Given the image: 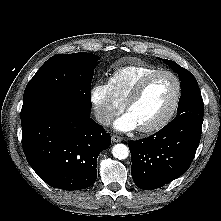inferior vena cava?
I'll list each match as a JSON object with an SVG mask.
<instances>
[{
  "label": "inferior vena cava",
  "mask_w": 221,
  "mask_h": 221,
  "mask_svg": "<svg viewBox=\"0 0 221 221\" xmlns=\"http://www.w3.org/2000/svg\"><path fill=\"white\" fill-rule=\"evenodd\" d=\"M94 115L100 124L109 125L112 121V116L104 110L96 109Z\"/></svg>",
  "instance_id": "1"
}]
</instances>
